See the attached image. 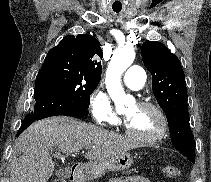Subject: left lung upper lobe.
<instances>
[{"label": "left lung upper lobe", "instance_id": "5c2ea615", "mask_svg": "<svg viewBox=\"0 0 211 182\" xmlns=\"http://www.w3.org/2000/svg\"><path fill=\"white\" fill-rule=\"evenodd\" d=\"M142 60L152 75V90L169 124L171 141L181 154L195 163V144L189 124L187 89L181 62L161 42L146 41Z\"/></svg>", "mask_w": 211, "mask_h": 182}]
</instances>
